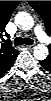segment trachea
Returning <instances> with one entry per match:
<instances>
[{"label": "trachea", "instance_id": "obj_1", "mask_svg": "<svg viewBox=\"0 0 51 101\" xmlns=\"http://www.w3.org/2000/svg\"><path fill=\"white\" fill-rule=\"evenodd\" d=\"M14 44H15L16 46L23 45V44L32 45V44H33V40L30 39V38L17 37V38L14 40Z\"/></svg>", "mask_w": 51, "mask_h": 101}]
</instances>
